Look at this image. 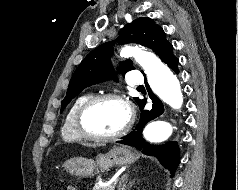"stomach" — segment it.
<instances>
[{
    "instance_id": "stomach-1",
    "label": "stomach",
    "mask_w": 238,
    "mask_h": 190,
    "mask_svg": "<svg viewBox=\"0 0 238 190\" xmlns=\"http://www.w3.org/2000/svg\"><path fill=\"white\" fill-rule=\"evenodd\" d=\"M137 159L138 155L129 148L114 147L108 153L99 155L96 161L84 157H75L66 161L64 166L72 175L90 177L98 169L107 172L114 166L127 165Z\"/></svg>"
}]
</instances>
